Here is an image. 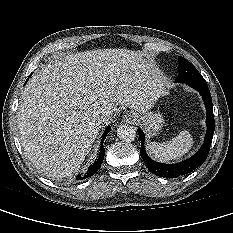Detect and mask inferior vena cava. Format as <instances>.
<instances>
[{"mask_svg": "<svg viewBox=\"0 0 233 233\" xmlns=\"http://www.w3.org/2000/svg\"><path fill=\"white\" fill-rule=\"evenodd\" d=\"M95 119L99 122V123H103L106 121L107 116L105 114H99L97 116H95Z\"/></svg>", "mask_w": 233, "mask_h": 233, "instance_id": "inferior-vena-cava-1", "label": "inferior vena cava"}]
</instances>
